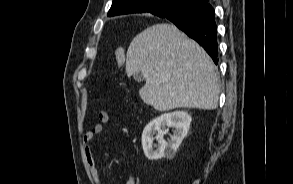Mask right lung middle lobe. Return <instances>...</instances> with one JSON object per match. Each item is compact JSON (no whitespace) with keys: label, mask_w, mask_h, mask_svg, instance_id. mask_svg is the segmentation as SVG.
<instances>
[{"label":"right lung middle lobe","mask_w":293,"mask_h":184,"mask_svg":"<svg viewBox=\"0 0 293 184\" xmlns=\"http://www.w3.org/2000/svg\"><path fill=\"white\" fill-rule=\"evenodd\" d=\"M168 4V1L165 0H160V1H155L154 5L157 9L165 8Z\"/></svg>","instance_id":"1"}]
</instances>
